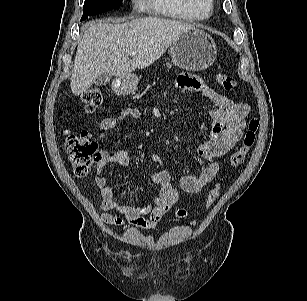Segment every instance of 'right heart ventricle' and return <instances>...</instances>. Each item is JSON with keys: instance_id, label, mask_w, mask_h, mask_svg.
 <instances>
[{"instance_id": "1", "label": "right heart ventricle", "mask_w": 307, "mask_h": 301, "mask_svg": "<svg viewBox=\"0 0 307 301\" xmlns=\"http://www.w3.org/2000/svg\"><path fill=\"white\" fill-rule=\"evenodd\" d=\"M146 7L163 16L183 20L202 21L210 17L213 0H143Z\"/></svg>"}]
</instances>
